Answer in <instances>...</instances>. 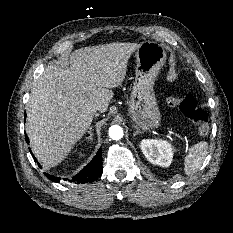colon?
Wrapping results in <instances>:
<instances>
[{"mask_svg": "<svg viewBox=\"0 0 233 233\" xmlns=\"http://www.w3.org/2000/svg\"><path fill=\"white\" fill-rule=\"evenodd\" d=\"M166 103L168 106L178 109L184 116L190 119L195 124L196 132L200 136L209 134L208 113L198 107L194 96L187 94L183 97H177L173 93H168Z\"/></svg>", "mask_w": 233, "mask_h": 233, "instance_id": "obj_1", "label": "colon"}]
</instances>
